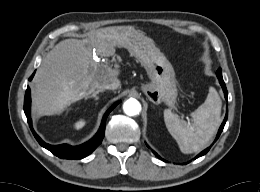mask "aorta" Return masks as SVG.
Listing matches in <instances>:
<instances>
[{
  "instance_id": "obj_1",
  "label": "aorta",
  "mask_w": 260,
  "mask_h": 192,
  "mask_svg": "<svg viewBox=\"0 0 260 192\" xmlns=\"http://www.w3.org/2000/svg\"><path fill=\"white\" fill-rule=\"evenodd\" d=\"M123 111L128 116L138 115L141 111V104L138 100L130 98L124 102Z\"/></svg>"
}]
</instances>
